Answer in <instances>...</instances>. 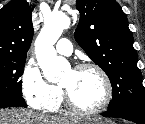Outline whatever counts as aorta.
<instances>
[{
	"mask_svg": "<svg viewBox=\"0 0 145 124\" xmlns=\"http://www.w3.org/2000/svg\"><path fill=\"white\" fill-rule=\"evenodd\" d=\"M70 19L63 13H50L44 19V26L35 40L37 62L49 82H57L63 71L70 67L68 61L56 55L54 44L69 25Z\"/></svg>",
	"mask_w": 145,
	"mask_h": 124,
	"instance_id": "aorta-1",
	"label": "aorta"
}]
</instances>
